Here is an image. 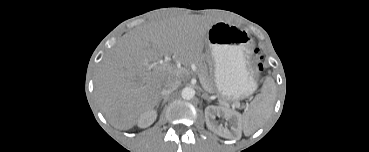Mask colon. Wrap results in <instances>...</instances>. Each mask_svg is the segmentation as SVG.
<instances>
[{
  "mask_svg": "<svg viewBox=\"0 0 369 152\" xmlns=\"http://www.w3.org/2000/svg\"><path fill=\"white\" fill-rule=\"evenodd\" d=\"M255 58H256V61H257V68L259 71L262 70V60H263V56L262 54L260 53V51H256L255 52Z\"/></svg>",
  "mask_w": 369,
  "mask_h": 152,
  "instance_id": "colon-1",
  "label": "colon"
}]
</instances>
